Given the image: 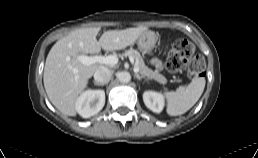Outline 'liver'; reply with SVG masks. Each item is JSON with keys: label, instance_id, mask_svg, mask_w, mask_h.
I'll list each match as a JSON object with an SVG mask.
<instances>
[{"label": "liver", "instance_id": "liver-1", "mask_svg": "<svg viewBox=\"0 0 258 158\" xmlns=\"http://www.w3.org/2000/svg\"><path fill=\"white\" fill-rule=\"evenodd\" d=\"M147 27L109 30L97 41L99 27L81 28L58 40L46 58L43 81L51 103L64 115L76 114L75 102L102 65H85L80 55L121 50L135 43Z\"/></svg>", "mask_w": 258, "mask_h": 158}]
</instances>
